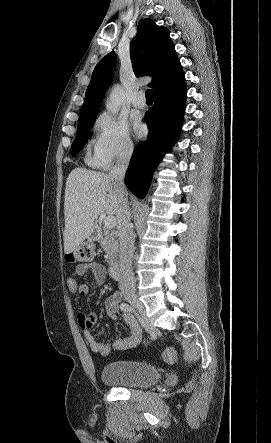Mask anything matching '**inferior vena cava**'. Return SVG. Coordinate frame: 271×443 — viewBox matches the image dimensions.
Here are the masks:
<instances>
[{
  "instance_id": "1",
  "label": "inferior vena cava",
  "mask_w": 271,
  "mask_h": 443,
  "mask_svg": "<svg viewBox=\"0 0 271 443\" xmlns=\"http://www.w3.org/2000/svg\"><path fill=\"white\" fill-rule=\"evenodd\" d=\"M132 142H123L118 154L117 162L109 176L114 178L121 190V216L118 222L119 235V283L122 291L121 296H136V282L132 271L131 257L134 251V235L130 223V210L128 206V192L124 184L125 172L133 154Z\"/></svg>"
}]
</instances>
